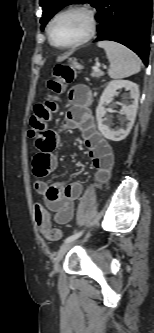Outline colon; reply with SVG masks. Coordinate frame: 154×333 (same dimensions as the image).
<instances>
[{
	"instance_id": "5ec220e1",
	"label": "colon",
	"mask_w": 154,
	"mask_h": 333,
	"mask_svg": "<svg viewBox=\"0 0 154 333\" xmlns=\"http://www.w3.org/2000/svg\"><path fill=\"white\" fill-rule=\"evenodd\" d=\"M76 65L74 63L57 65L53 78L48 81L49 96L43 103L36 104L29 123V134L35 137L47 125L52 114L57 111L59 95L64 91L65 85L70 84L75 77ZM34 218L41 233L49 240H58L61 237L59 229L51 226L50 215L42 204H35Z\"/></svg>"
}]
</instances>
